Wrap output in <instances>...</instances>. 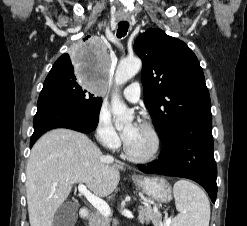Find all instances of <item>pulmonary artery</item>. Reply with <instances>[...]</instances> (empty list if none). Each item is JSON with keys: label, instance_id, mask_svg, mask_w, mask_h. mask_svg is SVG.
<instances>
[{"label": "pulmonary artery", "instance_id": "1", "mask_svg": "<svg viewBox=\"0 0 247 226\" xmlns=\"http://www.w3.org/2000/svg\"><path fill=\"white\" fill-rule=\"evenodd\" d=\"M140 93V84L138 82H133L123 89L125 99L132 103L139 101Z\"/></svg>", "mask_w": 247, "mask_h": 226}]
</instances>
